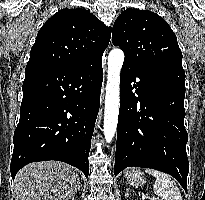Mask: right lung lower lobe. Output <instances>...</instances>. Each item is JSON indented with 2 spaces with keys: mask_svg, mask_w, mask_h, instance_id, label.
Returning a JSON list of instances; mask_svg holds the SVG:
<instances>
[{
  "mask_svg": "<svg viewBox=\"0 0 205 200\" xmlns=\"http://www.w3.org/2000/svg\"><path fill=\"white\" fill-rule=\"evenodd\" d=\"M102 58L76 66H26L11 176L44 160L89 174L88 155L100 106Z\"/></svg>",
  "mask_w": 205,
  "mask_h": 200,
  "instance_id": "right-lung-lower-lobe-1",
  "label": "right lung lower lobe"
}]
</instances>
